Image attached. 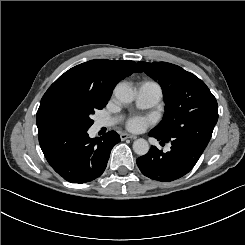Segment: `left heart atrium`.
<instances>
[{
	"label": "left heart atrium",
	"instance_id": "obj_1",
	"mask_svg": "<svg viewBox=\"0 0 245 245\" xmlns=\"http://www.w3.org/2000/svg\"><path fill=\"white\" fill-rule=\"evenodd\" d=\"M147 120L142 117H133L128 121V128L135 131H140L145 128Z\"/></svg>",
	"mask_w": 245,
	"mask_h": 245
}]
</instances>
